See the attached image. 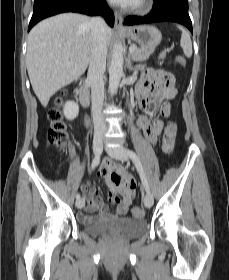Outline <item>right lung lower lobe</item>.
Instances as JSON below:
<instances>
[{
	"mask_svg": "<svg viewBox=\"0 0 229 280\" xmlns=\"http://www.w3.org/2000/svg\"><path fill=\"white\" fill-rule=\"evenodd\" d=\"M63 12H77L91 16L101 14L111 27L114 26V14L105 0H35L28 31L40 20Z\"/></svg>",
	"mask_w": 229,
	"mask_h": 280,
	"instance_id": "obj_1",
	"label": "right lung lower lobe"
}]
</instances>
